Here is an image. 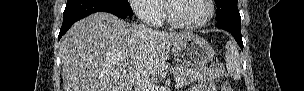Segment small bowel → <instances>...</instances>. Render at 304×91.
<instances>
[{
	"label": "small bowel",
	"instance_id": "1",
	"mask_svg": "<svg viewBox=\"0 0 304 91\" xmlns=\"http://www.w3.org/2000/svg\"><path fill=\"white\" fill-rule=\"evenodd\" d=\"M192 91H214V87L210 82H201L195 85Z\"/></svg>",
	"mask_w": 304,
	"mask_h": 91
}]
</instances>
